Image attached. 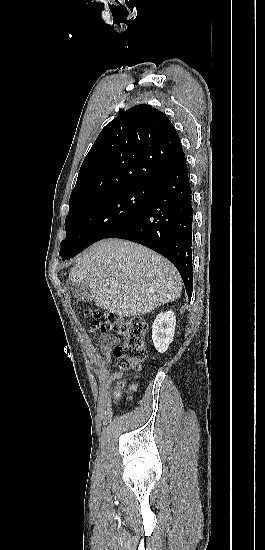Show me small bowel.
<instances>
[{"instance_id": "c3829d8e", "label": "small bowel", "mask_w": 265, "mask_h": 550, "mask_svg": "<svg viewBox=\"0 0 265 550\" xmlns=\"http://www.w3.org/2000/svg\"><path fill=\"white\" fill-rule=\"evenodd\" d=\"M98 346L100 347L102 353L107 357L108 356V348L112 345H115L118 343V339L114 338L110 335H101L98 338Z\"/></svg>"}]
</instances>
